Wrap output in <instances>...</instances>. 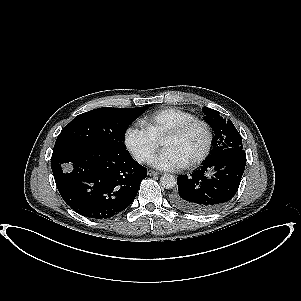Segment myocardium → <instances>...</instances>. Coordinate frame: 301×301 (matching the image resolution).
<instances>
[{
    "label": "myocardium",
    "instance_id": "obj_1",
    "mask_svg": "<svg viewBox=\"0 0 301 301\" xmlns=\"http://www.w3.org/2000/svg\"><path fill=\"white\" fill-rule=\"evenodd\" d=\"M193 125H200L203 128L204 133H205V143H204L202 150L195 157H193L191 160H189L187 162L188 166H194V165L202 162L207 157V155L210 151L211 144H212V132H211L209 125L205 121L196 119V118L186 121L172 129L168 130L163 135L162 140H161V143L163 146L164 141L166 139L182 134L184 131H186L188 128H190Z\"/></svg>",
    "mask_w": 301,
    "mask_h": 301
}]
</instances>
